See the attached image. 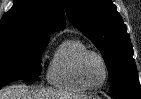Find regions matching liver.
Masks as SVG:
<instances>
[{
	"instance_id": "1",
	"label": "liver",
	"mask_w": 141,
	"mask_h": 99,
	"mask_svg": "<svg viewBox=\"0 0 141 99\" xmlns=\"http://www.w3.org/2000/svg\"><path fill=\"white\" fill-rule=\"evenodd\" d=\"M86 97L51 88H28L26 86H12L0 91V99H82Z\"/></svg>"
}]
</instances>
